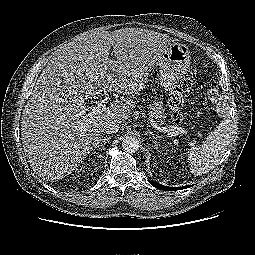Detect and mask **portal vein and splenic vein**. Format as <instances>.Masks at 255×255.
Instances as JSON below:
<instances>
[{
	"instance_id": "18ae733b",
	"label": "portal vein and splenic vein",
	"mask_w": 255,
	"mask_h": 255,
	"mask_svg": "<svg viewBox=\"0 0 255 255\" xmlns=\"http://www.w3.org/2000/svg\"><path fill=\"white\" fill-rule=\"evenodd\" d=\"M106 109H107V105L105 104L104 101L99 102L96 107H90V110L92 111L91 114H93V115H98V114L106 111ZM151 125L154 128L158 129L160 132L173 131V132H176L177 134H185V135L188 134V132L185 129H183L181 127H177V126L159 127L153 119H151ZM190 145L192 146L193 144L190 143Z\"/></svg>"
}]
</instances>
